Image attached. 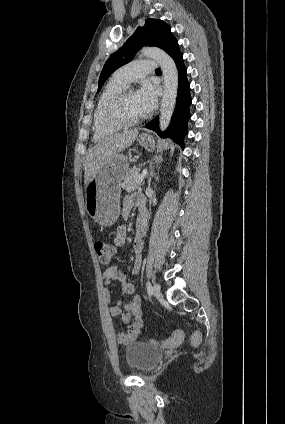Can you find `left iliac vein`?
Listing matches in <instances>:
<instances>
[{
	"label": "left iliac vein",
	"instance_id": "left-iliac-vein-1",
	"mask_svg": "<svg viewBox=\"0 0 285 424\" xmlns=\"http://www.w3.org/2000/svg\"><path fill=\"white\" fill-rule=\"evenodd\" d=\"M153 293H154V296H155L158 300L163 299V295H162V293L160 292V286H159L158 284H154V286H153Z\"/></svg>",
	"mask_w": 285,
	"mask_h": 424
}]
</instances>
